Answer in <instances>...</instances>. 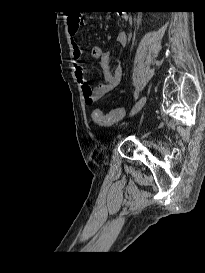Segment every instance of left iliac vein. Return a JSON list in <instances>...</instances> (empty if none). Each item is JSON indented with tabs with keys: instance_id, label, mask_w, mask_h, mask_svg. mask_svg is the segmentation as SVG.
Segmentation results:
<instances>
[{
	"instance_id": "1",
	"label": "left iliac vein",
	"mask_w": 205,
	"mask_h": 273,
	"mask_svg": "<svg viewBox=\"0 0 205 273\" xmlns=\"http://www.w3.org/2000/svg\"><path fill=\"white\" fill-rule=\"evenodd\" d=\"M147 101V97L146 96H142L136 103L135 105L133 106L131 112H130V116H133L135 115L136 113H138L142 108L143 106L145 105Z\"/></svg>"
}]
</instances>
